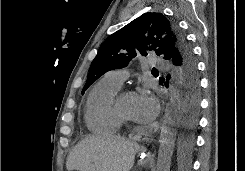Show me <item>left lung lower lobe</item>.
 Here are the masks:
<instances>
[{
    "mask_svg": "<svg viewBox=\"0 0 245 171\" xmlns=\"http://www.w3.org/2000/svg\"><path fill=\"white\" fill-rule=\"evenodd\" d=\"M193 54V53H192ZM175 67L174 80L180 95V111L183 131L177 136L176 145L180 167L188 166V158L194 146L191 129L196 124L199 108V80L196 61H181V56L171 60ZM170 75H168L167 80ZM168 87V81L165 83Z\"/></svg>",
    "mask_w": 245,
    "mask_h": 171,
    "instance_id": "1",
    "label": "left lung lower lobe"
}]
</instances>
